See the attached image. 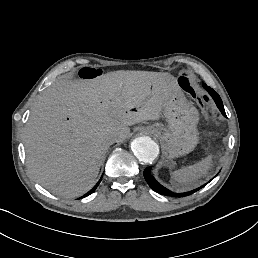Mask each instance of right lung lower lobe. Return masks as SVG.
<instances>
[{
  "label": "right lung lower lobe",
  "instance_id": "right-lung-lower-lobe-1",
  "mask_svg": "<svg viewBox=\"0 0 258 258\" xmlns=\"http://www.w3.org/2000/svg\"><path fill=\"white\" fill-rule=\"evenodd\" d=\"M101 182V179L98 181V183L94 186L93 189H91L88 193H86L84 196H82L81 198L83 197H86L88 195H90L91 193H93L95 191V189L98 187L99 183Z\"/></svg>",
  "mask_w": 258,
  "mask_h": 258
}]
</instances>
